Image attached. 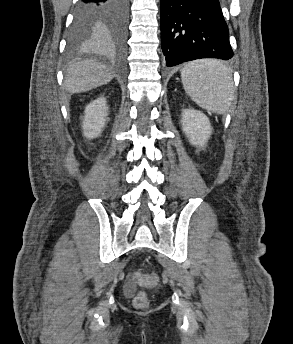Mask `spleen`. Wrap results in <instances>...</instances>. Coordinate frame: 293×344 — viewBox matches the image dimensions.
I'll list each match as a JSON object with an SVG mask.
<instances>
[{"label":"spleen","instance_id":"1","mask_svg":"<svg viewBox=\"0 0 293 344\" xmlns=\"http://www.w3.org/2000/svg\"><path fill=\"white\" fill-rule=\"evenodd\" d=\"M181 79L186 93L200 107L219 114L228 110L234 84L230 70L221 61H192L181 70Z\"/></svg>","mask_w":293,"mask_h":344}]
</instances>
